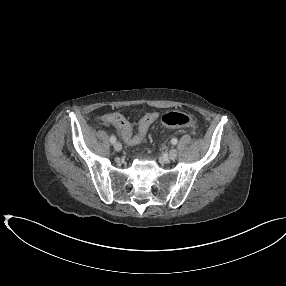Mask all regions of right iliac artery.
<instances>
[{
  "label": "right iliac artery",
  "instance_id": "obj_1",
  "mask_svg": "<svg viewBox=\"0 0 286 286\" xmlns=\"http://www.w3.org/2000/svg\"><path fill=\"white\" fill-rule=\"evenodd\" d=\"M110 142H111L112 144H114V143L116 142V138H115L114 135H111V137H110Z\"/></svg>",
  "mask_w": 286,
  "mask_h": 286
}]
</instances>
